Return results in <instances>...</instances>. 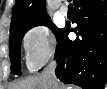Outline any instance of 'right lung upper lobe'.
I'll use <instances>...</instances> for the list:
<instances>
[{
  "mask_svg": "<svg viewBox=\"0 0 107 89\" xmlns=\"http://www.w3.org/2000/svg\"><path fill=\"white\" fill-rule=\"evenodd\" d=\"M48 17L45 12V0H16L10 28Z\"/></svg>",
  "mask_w": 107,
  "mask_h": 89,
  "instance_id": "right-lung-upper-lobe-1",
  "label": "right lung upper lobe"
}]
</instances>
